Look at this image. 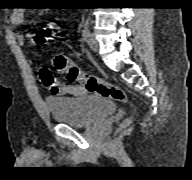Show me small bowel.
Masks as SVG:
<instances>
[{
    "instance_id": "1",
    "label": "small bowel",
    "mask_w": 192,
    "mask_h": 180,
    "mask_svg": "<svg viewBox=\"0 0 192 180\" xmlns=\"http://www.w3.org/2000/svg\"><path fill=\"white\" fill-rule=\"evenodd\" d=\"M11 22L14 25H21L24 22V15L21 10H15L11 15ZM29 36V35H27ZM42 84L54 96H70L77 97L86 93L81 85H67L56 81L47 69L41 71Z\"/></svg>"
}]
</instances>
